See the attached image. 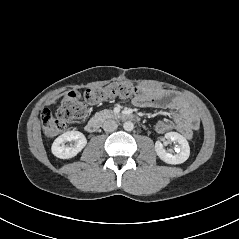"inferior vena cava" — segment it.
Here are the masks:
<instances>
[{
	"label": "inferior vena cava",
	"mask_w": 239,
	"mask_h": 239,
	"mask_svg": "<svg viewBox=\"0 0 239 239\" xmlns=\"http://www.w3.org/2000/svg\"><path fill=\"white\" fill-rule=\"evenodd\" d=\"M118 124L115 120L109 119L104 121L103 123V129L106 132H113L117 129Z\"/></svg>",
	"instance_id": "1"
}]
</instances>
